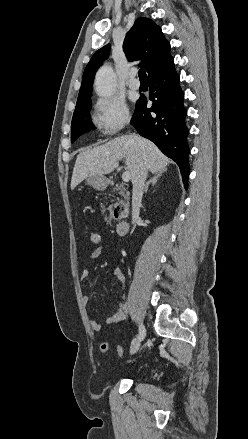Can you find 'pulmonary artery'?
Listing matches in <instances>:
<instances>
[{
  "mask_svg": "<svg viewBox=\"0 0 248 439\" xmlns=\"http://www.w3.org/2000/svg\"><path fill=\"white\" fill-rule=\"evenodd\" d=\"M127 86L132 90H137L140 87V82L136 78V72L131 71L128 74Z\"/></svg>",
  "mask_w": 248,
  "mask_h": 439,
  "instance_id": "e3ab8cb5",
  "label": "pulmonary artery"
}]
</instances>
